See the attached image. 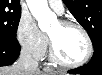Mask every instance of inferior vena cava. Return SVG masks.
<instances>
[{
  "instance_id": "obj_1",
  "label": "inferior vena cava",
  "mask_w": 102,
  "mask_h": 75,
  "mask_svg": "<svg viewBox=\"0 0 102 75\" xmlns=\"http://www.w3.org/2000/svg\"><path fill=\"white\" fill-rule=\"evenodd\" d=\"M17 64L25 71L33 72L39 70L38 62L32 58L30 52L26 48H22Z\"/></svg>"
}]
</instances>
